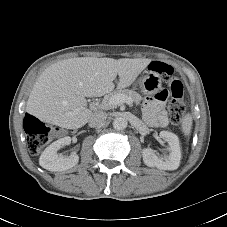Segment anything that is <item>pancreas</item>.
Returning <instances> with one entry per match:
<instances>
[{
	"mask_svg": "<svg viewBox=\"0 0 227 227\" xmlns=\"http://www.w3.org/2000/svg\"><path fill=\"white\" fill-rule=\"evenodd\" d=\"M117 94H121V95L131 98L132 101L135 102L136 104H139L142 100L141 95L133 90H128V89L118 90V91H114V92L108 94L101 107L105 110L111 109L113 106H110L108 104V101L112 96L117 95Z\"/></svg>",
	"mask_w": 227,
	"mask_h": 227,
	"instance_id": "1",
	"label": "pancreas"
}]
</instances>
